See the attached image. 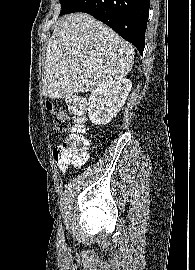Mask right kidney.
Masks as SVG:
<instances>
[{"label": "right kidney", "mask_w": 195, "mask_h": 270, "mask_svg": "<svg viewBox=\"0 0 195 270\" xmlns=\"http://www.w3.org/2000/svg\"><path fill=\"white\" fill-rule=\"evenodd\" d=\"M131 88L132 82L122 78L93 90L88 101L89 120L95 125L109 123L124 105Z\"/></svg>", "instance_id": "ca27d5eb"}]
</instances>
